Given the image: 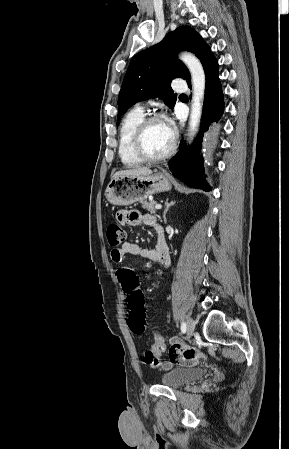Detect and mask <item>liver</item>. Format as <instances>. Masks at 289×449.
Returning a JSON list of instances; mask_svg holds the SVG:
<instances>
[{
  "instance_id": "obj_1",
  "label": "liver",
  "mask_w": 289,
  "mask_h": 449,
  "mask_svg": "<svg viewBox=\"0 0 289 449\" xmlns=\"http://www.w3.org/2000/svg\"><path fill=\"white\" fill-rule=\"evenodd\" d=\"M152 170L147 167H136L133 169H127L118 171L114 174V177L117 176H139V175H151Z\"/></svg>"
}]
</instances>
